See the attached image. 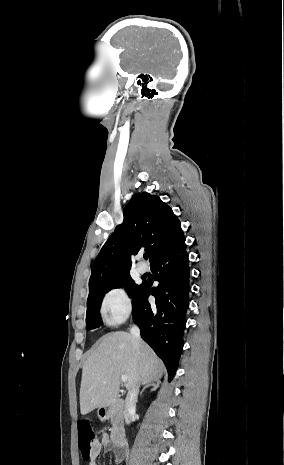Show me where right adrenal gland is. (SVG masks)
Instances as JSON below:
<instances>
[{"instance_id": "right-adrenal-gland-1", "label": "right adrenal gland", "mask_w": 284, "mask_h": 465, "mask_svg": "<svg viewBox=\"0 0 284 465\" xmlns=\"http://www.w3.org/2000/svg\"><path fill=\"white\" fill-rule=\"evenodd\" d=\"M160 385V381H154V383H149V385H145V387H143L140 395H142V393H144L145 389H148V387H152L151 391H156V389H159Z\"/></svg>"}]
</instances>
